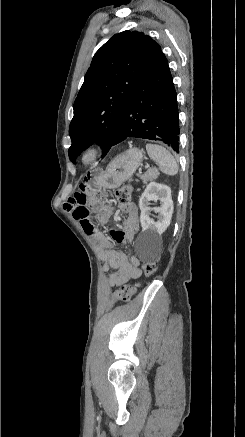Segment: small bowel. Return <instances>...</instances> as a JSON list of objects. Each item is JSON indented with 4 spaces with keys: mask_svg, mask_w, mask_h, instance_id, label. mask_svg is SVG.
Returning <instances> with one entry per match:
<instances>
[{
    "mask_svg": "<svg viewBox=\"0 0 245 437\" xmlns=\"http://www.w3.org/2000/svg\"><path fill=\"white\" fill-rule=\"evenodd\" d=\"M77 192L66 202L65 210L80 222L85 233L92 238L99 256L105 261L103 271L110 274L108 283L111 286H122L132 278L140 275L139 260L129 257L122 251L113 248V241L117 243H132L139 229V214L134 203L120 204L118 209L125 213L126 219L121 229H113L110 236L99 229L100 224L107 222L114 212L111 208L98 217V224L90 217V206L86 203V192H89V183H78Z\"/></svg>",
    "mask_w": 245,
    "mask_h": 437,
    "instance_id": "obj_1",
    "label": "small bowel"
}]
</instances>
